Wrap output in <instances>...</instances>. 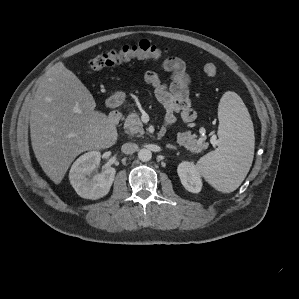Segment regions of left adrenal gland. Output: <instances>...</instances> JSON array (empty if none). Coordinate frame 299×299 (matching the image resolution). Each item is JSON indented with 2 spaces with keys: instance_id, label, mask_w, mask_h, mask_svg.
I'll use <instances>...</instances> for the list:
<instances>
[{
  "instance_id": "obj_1",
  "label": "left adrenal gland",
  "mask_w": 299,
  "mask_h": 299,
  "mask_svg": "<svg viewBox=\"0 0 299 299\" xmlns=\"http://www.w3.org/2000/svg\"><path fill=\"white\" fill-rule=\"evenodd\" d=\"M168 149H176L174 146H172V145H167L166 146Z\"/></svg>"
}]
</instances>
